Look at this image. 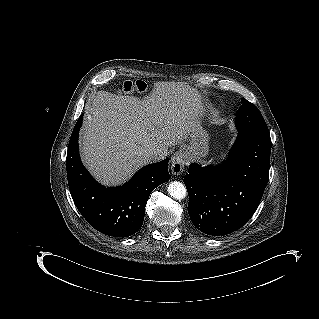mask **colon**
I'll list each match as a JSON object with an SVG mask.
<instances>
[{
    "instance_id": "obj_1",
    "label": "colon",
    "mask_w": 319,
    "mask_h": 319,
    "mask_svg": "<svg viewBox=\"0 0 319 319\" xmlns=\"http://www.w3.org/2000/svg\"><path fill=\"white\" fill-rule=\"evenodd\" d=\"M122 92L124 93H142L147 90V84L144 81H126L122 85Z\"/></svg>"
}]
</instances>
